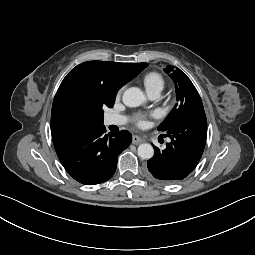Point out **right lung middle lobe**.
<instances>
[{
	"instance_id": "right-lung-middle-lobe-1",
	"label": "right lung middle lobe",
	"mask_w": 255,
	"mask_h": 255,
	"mask_svg": "<svg viewBox=\"0 0 255 255\" xmlns=\"http://www.w3.org/2000/svg\"><path fill=\"white\" fill-rule=\"evenodd\" d=\"M114 101V99L106 100L98 94L79 87H70L62 92L59 106L64 115L76 123L102 124L103 107L111 108Z\"/></svg>"
}]
</instances>
